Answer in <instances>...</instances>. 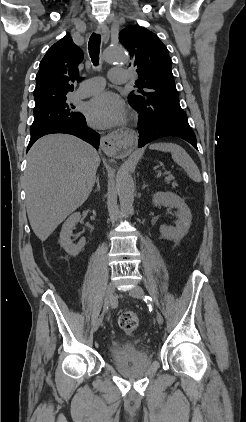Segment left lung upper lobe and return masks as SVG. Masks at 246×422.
Listing matches in <instances>:
<instances>
[{
	"instance_id": "5c2ea615",
	"label": "left lung upper lobe",
	"mask_w": 246,
	"mask_h": 422,
	"mask_svg": "<svg viewBox=\"0 0 246 422\" xmlns=\"http://www.w3.org/2000/svg\"><path fill=\"white\" fill-rule=\"evenodd\" d=\"M119 41L128 50L139 79L136 94L128 102L147 122L161 119H187L179 104V95L171 71L172 60L158 36L144 27L128 26L119 33Z\"/></svg>"
}]
</instances>
